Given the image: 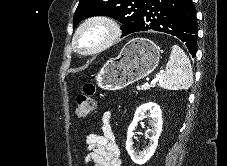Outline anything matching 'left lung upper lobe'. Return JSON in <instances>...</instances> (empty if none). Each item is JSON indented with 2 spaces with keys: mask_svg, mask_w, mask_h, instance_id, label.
I'll return each instance as SVG.
<instances>
[{
  "mask_svg": "<svg viewBox=\"0 0 227 166\" xmlns=\"http://www.w3.org/2000/svg\"><path fill=\"white\" fill-rule=\"evenodd\" d=\"M147 0H80L73 18V28L90 16H111L124 25L123 34L133 33L139 25Z\"/></svg>",
  "mask_w": 227,
  "mask_h": 166,
  "instance_id": "5c2ea615",
  "label": "left lung upper lobe"
}]
</instances>
